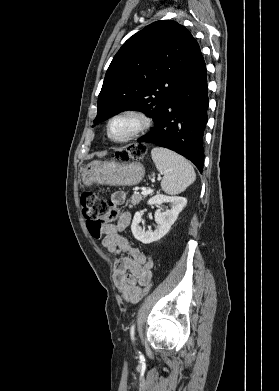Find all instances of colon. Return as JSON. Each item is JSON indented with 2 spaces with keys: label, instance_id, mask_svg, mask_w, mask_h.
Returning a JSON list of instances; mask_svg holds the SVG:
<instances>
[{
  "label": "colon",
  "instance_id": "obj_1",
  "mask_svg": "<svg viewBox=\"0 0 279 391\" xmlns=\"http://www.w3.org/2000/svg\"><path fill=\"white\" fill-rule=\"evenodd\" d=\"M146 153V147L142 144L123 149L116 154V158L121 162L131 160H141ZM81 205L83 214L86 218L87 227L92 237L99 239L101 237V228L103 221L113 219L118 212L104 199L98 197L95 193L85 192L81 196ZM152 283L148 282L142 290L143 296L147 295L151 289Z\"/></svg>",
  "mask_w": 279,
  "mask_h": 391
}]
</instances>
